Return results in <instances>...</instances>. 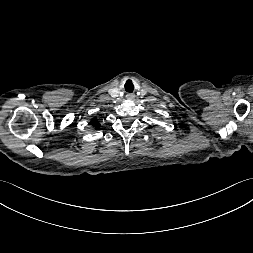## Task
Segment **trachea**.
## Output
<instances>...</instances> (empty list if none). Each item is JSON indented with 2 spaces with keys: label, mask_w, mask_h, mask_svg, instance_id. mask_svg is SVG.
<instances>
[{
  "label": "trachea",
  "mask_w": 253,
  "mask_h": 253,
  "mask_svg": "<svg viewBox=\"0 0 253 253\" xmlns=\"http://www.w3.org/2000/svg\"><path fill=\"white\" fill-rule=\"evenodd\" d=\"M134 90V85L131 80H127L125 83V91L128 93H132Z\"/></svg>",
  "instance_id": "obj_1"
}]
</instances>
